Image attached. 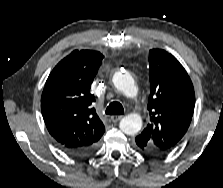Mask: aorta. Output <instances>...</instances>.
Returning <instances> with one entry per match:
<instances>
[{
    "label": "aorta",
    "mask_w": 223,
    "mask_h": 188,
    "mask_svg": "<svg viewBox=\"0 0 223 188\" xmlns=\"http://www.w3.org/2000/svg\"><path fill=\"white\" fill-rule=\"evenodd\" d=\"M114 86L125 96L134 98L137 96L138 88L135 85L133 77L129 73L116 72L113 76ZM142 118L138 114H128L123 117L119 123L122 132L127 135H135L142 128Z\"/></svg>",
    "instance_id": "aorta-1"
}]
</instances>
